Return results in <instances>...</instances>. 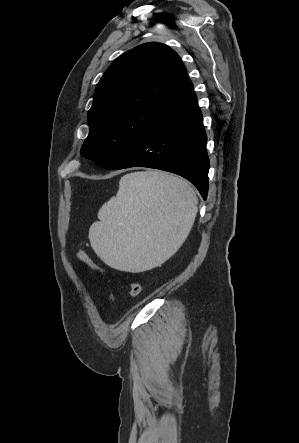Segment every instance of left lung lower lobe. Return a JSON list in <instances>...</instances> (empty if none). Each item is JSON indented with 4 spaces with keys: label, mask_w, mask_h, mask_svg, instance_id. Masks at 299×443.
Here are the masks:
<instances>
[{
    "label": "left lung lower lobe",
    "mask_w": 299,
    "mask_h": 443,
    "mask_svg": "<svg viewBox=\"0 0 299 443\" xmlns=\"http://www.w3.org/2000/svg\"><path fill=\"white\" fill-rule=\"evenodd\" d=\"M202 113L190 82L111 169L148 167L178 174L206 200L209 159Z\"/></svg>",
    "instance_id": "obj_1"
}]
</instances>
